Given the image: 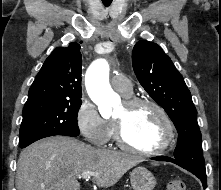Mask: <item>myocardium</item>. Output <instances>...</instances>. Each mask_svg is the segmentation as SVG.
Returning a JSON list of instances; mask_svg holds the SVG:
<instances>
[{
  "instance_id": "f54148a6",
  "label": "myocardium",
  "mask_w": 221,
  "mask_h": 190,
  "mask_svg": "<svg viewBox=\"0 0 221 190\" xmlns=\"http://www.w3.org/2000/svg\"><path fill=\"white\" fill-rule=\"evenodd\" d=\"M124 106L127 110H132L135 107H138L140 105H148L152 108H154L157 113L160 115L164 126H165V135L163 138L162 143L155 147V148H151V149H141L138 148L134 145H132L126 138V134H125V124L123 120L120 119H113V123H114V127H115V132H116V140L118 145L130 152L133 153H137L140 155H159L165 151H167L170 146L173 143L174 140V136H175V130H174V125L173 122L170 118V116L168 115V113L165 111V109L159 105L157 102L148 99V98H141V97H130V98H126L124 101Z\"/></svg>"
}]
</instances>
